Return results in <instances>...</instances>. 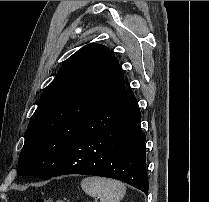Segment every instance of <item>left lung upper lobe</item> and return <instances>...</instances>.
Masks as SVG:
<instances>
[{"instance_id":"left-lung-upper-lobe-1","label":"left lung upper lobe","mask_w":209,"mask_h":202,"mask_svg":"<svg viewBox=\"0 0 209 202\" xmlns=\"http://www.w3.org/2000/svg\"><path fill=\"white\" fill-rule=\"evenodd\" d=\"M125 90L109 48L88 44L75 52L41 95L25 133L18 174L51 178L84 122Z\"/></svg>"}]
</instances>
